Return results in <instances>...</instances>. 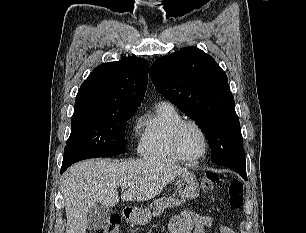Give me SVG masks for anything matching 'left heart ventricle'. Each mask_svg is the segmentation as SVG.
Segmentation results:
<instances>
[{"instance_id": "left-heart-ventricle-1", "label": "left heart ventricle", "mask_w": 306, "mask_h": 233, "mask_svg": "<svg viewBox=\"0 0 306 233\" xmlns=\"http://www.w3.org/2000/svg\"><path fill=\"white\" fill-rule=\"evenodd\" d=\"M180 147L186 157L196 158L204 151V139L195 127L187 126L182 131Z\"/></svg>"}]
</instances>
